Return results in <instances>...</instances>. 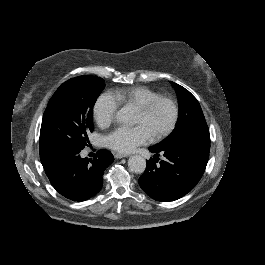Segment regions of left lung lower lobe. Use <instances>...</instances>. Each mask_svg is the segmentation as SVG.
I'll list each match as a JSON object with an SVG mask.
<instances>
[{
    "label": "left lung lower lobe",
    "instance_id": "obj_1",
    "mask_svg": "<svg viewBox=\"0 0 265 265\" xmlns=\"http://www.w3.org/2000/svg\"><path fill=\"white\" fill-rule=\"evenodd\" d=\"M154 160L139 178L141 188L153 199L173 201L190 192L202 177L209 158L210 140L189 139L163 149L150 147ZM164 152L165 161L156 164L157 153Z\"/></svg>",
    "mask_w": 265,
    "mask_h": 265
}]
</instances>
